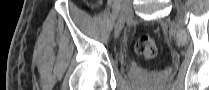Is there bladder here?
<instances>
[{
	"label": "bladder",
	"instance_id": "bladder-1",
	"mask_svg": "<svg viewBox=\"0 0 209 90\" xmlns=\"http://www.w3.org/2000/svg\"><path fill=\"white\" fill-rule=\"evenodd\" d=\"M148 87H151V86H153V85H147Z\"/></svg>",
	"mask_w": 209,
	"mask_h": 90
}]
</instances>
